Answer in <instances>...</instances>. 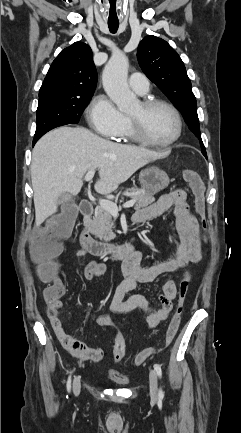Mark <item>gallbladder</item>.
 <instances>
[{
	"instance_id": "gallbladder-1",
	"label": "gallbladder",
	"mask_w": 241,
	"mask_h": 433,
	"mask_svg": "<svg viewBox=\"0 0 241 433\" xmlns=\"http://www.w3.org/2000/svg\"><path fill=\"white\" fill-rule=\"evenodd\" d=\"M72 200V195L68 192H64L62 193L59 198H58V202L59 203H64L63 208L65 210L70 211V213L72 214L73 218H75L78 214V207L76 204L71 203V204H65V203H69Z\"/></svg>"
}]
</instances>
